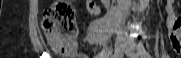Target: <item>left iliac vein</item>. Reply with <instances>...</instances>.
<instances>
[{"label":"left iliac vein","mask_w":181,"mask_h":58,"mask_svg":"<svg viewBox=\"0 0 181 58\" xmlns=\"http://www.w3.org/2000/svg\"><path fill=\"white\" fill-rule=\"evenodd\" d=\"M125 52L130 58H138L140 55L138 52V47L133 39H129L126 42Z\"/></svg>","instance_id":"1"}]
</instances>
